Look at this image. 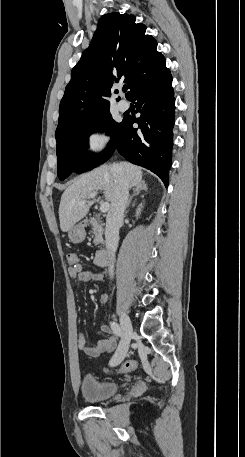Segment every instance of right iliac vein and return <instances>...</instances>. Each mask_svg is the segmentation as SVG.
<instances>
[{
    "label": "right iliac vein",
    "mask_w": 245,
    "mask_h": 457,
    "mask_svg": "<svg viewBox=\"0 0 245 457\" xmlns=\"http://www.w3.org/2000/svg\"><path fill=\"white\" fill-rule=\"evenodd\" d=\"M120 321L123 330V335L114 356L110 360V365L112 366L120 364L126 357L133 334L132 323L125 313L121 315Z\"/></svg>",
    "instance_id": "63e3f726"
}]
</instances>
